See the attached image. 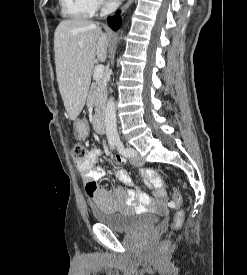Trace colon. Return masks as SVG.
Returning a JSON list of instances; mask_svg holds the SVG:
<instances>
[{"label": "colon", "instance_id": "obj_1", "mask_svg": "<svg viewBox=\"0 0 247 275\" xmlns=\"http://www.w3.org/2000/svg\"><path fill=\"white\" fill-rule=\"evenodd\" d=\"M72 157L75 162H80L85 159L87 156V149L82 144H75L72 147ZM86 193L92 195L96 190V185L94 183H88L85 186ZM171 203V207L176 209L174 219H173V227L180 228L184 222L185 213L182 209H180L181 205V193L179 190L175 189L173 193V198Z\"/></svg>", "mask_w": 247, "mask_h": 275}]
</instances>
